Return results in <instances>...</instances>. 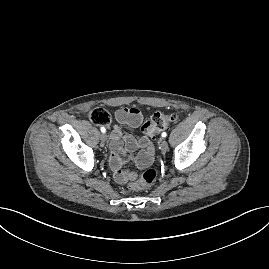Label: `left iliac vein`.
Returning a JSON list of instances; mask_svg holds the SVG:
<instances>
[{
  "label": "left iliac vein",
  "mask_w": 269,
  "mask_h": 269,
  "mask_svg": "<svg viewBox=\"0 0 269 269\" xmlns=\"http://www.w3.org/2000/svg\"><path fill=\"white\" fill-rule=\"evenodd\" d=\"M160 149L162 152H166L168 150V143L165 139L160 140Z\"/></svg>",
  "instance_id": "1"
}]
</instances>
